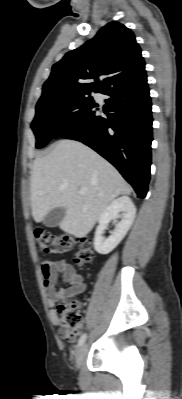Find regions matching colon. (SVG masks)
<instances>
[{"label": "colon", "instance_id": "5ec220e1", "mask_svg": "<svg viewBox=\"0 0 182 399\" xmlns=\"http://www.w3.org/2000/svg\"><path fill=\"white\" fill-rule=\"evenodd\" d=\"M33 235L42 251L53 255H62L77 247L73 261L78 266L90 264L94 252L87 238H76L69 234L54 235L42 227H35ZM57 315L60 320V329L69 339H74L76 330L81 324L82 316L77 302H62L57 306Z\"/></svg>", "mask_w": 182, "mask_h": 399}]
</instances>
